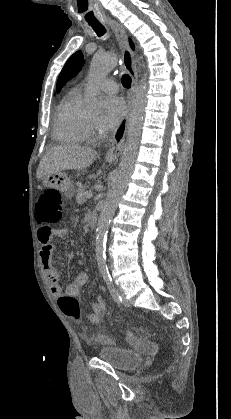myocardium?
<instances>
[{"mask_svg": "<svg viewBox=\"0 0 231 419\" xmlns=\"http://www.w3.org/2000/svg\"><path fill=\"white\" fill-rule=\"evenodd\" d=\"M87 126H88L89 134L91 132H94V129H95L94 122H92L89 118H87Z\"/></svg>", "mask_w": 231, "mask_h": 419, "instance_id": "myocardium-1", "label": "myocardium"}]
</instances>
